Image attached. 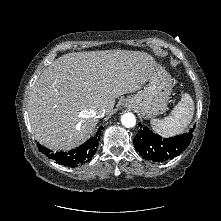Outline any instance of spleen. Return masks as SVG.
Masks as SVG:
<instances>
[{
	"label": "spleen",
	"instance_id": "3e777b00",
	"mask_svg": "<svg viewBox=\"0 0 221 221\" xmlns=\"http://www.w3.org/2000/svg\"><path fill=\"white\" fill-rule=\"evenodd\" d=\"M193 114L194 102L191 96L185 93L168 117L164 119H152L150 123L156 133L167 138L182 133L190 124Z\"/></svg>",
	"mask_w": 221,
	"mask_h": 221
}]
</instances>
